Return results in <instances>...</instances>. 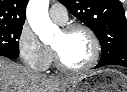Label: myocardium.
Here are the masks:
<instances>
[{
    "mask_svg": "<svg viewBox=\"0 0 127 92\" xmlns=\"http://www.w3.org/2000/svg\"><path fill=\"white\" fill-rule=\"evenodd\" d=\"M76 30H83L88 34L92 43L93 53L90 60L85 65H83L82 67L74 68V67L68 66L63 61L58 50L55 47H52L56 66L58 67V69H60L61 71L65 73L78 74V73L86 72L98 62L100 57V53H101L100 41L98 39V36L96 35V33L91 27L82 23H71L63 27L62 32L68 34Z\"/></svg>",
    "mask_w": 127,
    "mask_h": 92,
    "instance_id": "myocardium-1",
    "label": "myocardium"
}]
</instances>
